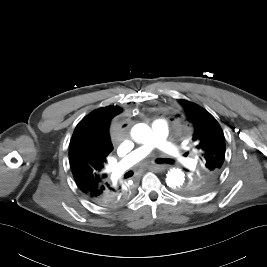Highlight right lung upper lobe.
<instances>
[{"mask_svg":"<svg viewBox=\"0 0 267 267\" xmlns=\"http://www.w3.org/2000/svg\"><path fill=\"white\" fill-rule=\"evenodd\" d=\"M116 106L102 107L84 117L76 126L69 145V161L78 187L84 192L108 183L104 167L113 150L108 127L119 114Z\"/></svg>","mask_w":267,"mask_h":267,"instance_id":"obj_1","label":"right lung upper lobe"}]
</instances>
